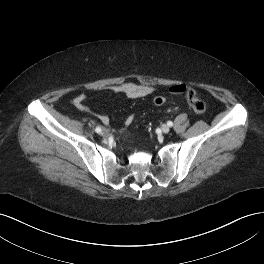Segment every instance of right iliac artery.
I'll list each match as a JSON object with an SVG mask.
<instances>
[{
	"mask_svg": "<svg viewBox=\"0 0 264 264\" xmlns=\"http://www.w3.org/2000/svg\"><path fill=\"white\" fill-rule=\"evenodd\" d=\"M95 131H96L97 133H101L102 129H101L100 127H96Z\"/></svg>",
	"mask_w": 264,
	"mask_h": 264,
	"instance_id": "obj_1",
	"label": "right iliac artery"
}]
</instances>
